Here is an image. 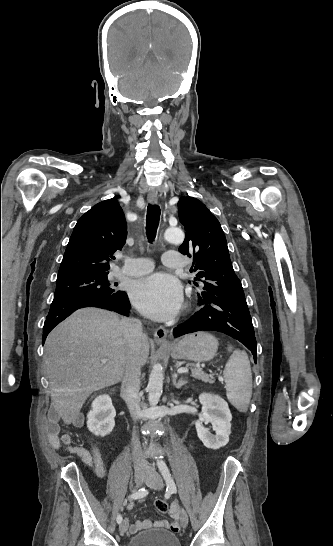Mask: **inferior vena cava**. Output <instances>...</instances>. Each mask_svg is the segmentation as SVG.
I'll use <instances>...</instances> for the list:
<instances>
[{"instance_id":"602c4592","label":"inferior vena cava","mask_w":333,"mask_h":546,"mask_svg":"<svg viewBox=\"0 0 333 546\" xmlns=\"http://www.w3.org/2000/svg\"><path fill=\"white\" fill-rule=\"evenodd\" d=\"M120 325L124 339L128 343V363L122 380L121 393L132 419L136 421L142 414L139 397L141 370L137 363V355L144 334L142 323L138 319L123 318ZM133 461L135 468L147 467V461L143 457L140 442L136 436L133 438Z\"/></svg>"}]
</instances>
